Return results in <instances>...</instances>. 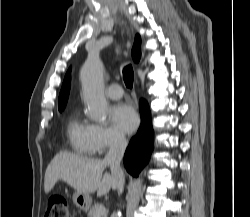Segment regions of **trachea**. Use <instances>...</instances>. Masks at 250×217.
Returning a JSON list of instances; mask_svg holds the SVG:
<instances>
[{"mask_svg":"<svg viewBox=\"0 0 250 217\" xmlns=\"http://www.w3.org/2000/svg\"><path fill=\"white\" fill-rule=\"evenodd\" d=\"M123 79H124L125 85L128 88L133 87L134 72H133V68H132L131 65H128V66L124 67V69H123Z\"/></svg>","mask_w":250,"mask_h":217,"instance_id":"trachea-1","label":"trachea"}]
</instances>
